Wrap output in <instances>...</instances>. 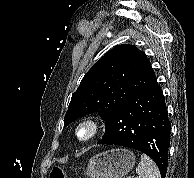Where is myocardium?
<instances>
[{"instance_id":"myocardium-1","label":"myocardium","mask_w":194,"mask_h":178,"mask_svg":"<svg viewBox=\"0 0 194 178\" xmlns=\"http://www.w3.org/2000/svg\"><path fill=\"white\" fill-rule=\"evenodd\" d=\"M82 130H86L87 134L85 136L81 135ZM102 132V125L99 120L93 117H87L78 122L75 127V137L80 142H91L97 139Z\"/></svg>"}]
</instances>
